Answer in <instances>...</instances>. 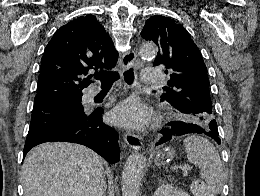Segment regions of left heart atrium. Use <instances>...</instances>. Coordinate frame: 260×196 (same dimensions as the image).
<instances>
[{
	"instance_id": "obj_1",
	"label": "left heart atrium",
	"mask_w": 260,
	"mask_h": 196,
	"mask_svg": "<svg viewBox=\"0 0 260 196\" xmlns=\"http://www.w3.org/2000/svg\"><path fill=\"white\" fill-rule=\"evenodd\" d=\"M111 117L118 125L139 129L148 124L151 114L139 100L127 99L112 111Z\"/></svg>"
}]
</instances>
